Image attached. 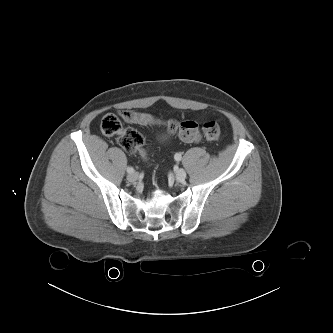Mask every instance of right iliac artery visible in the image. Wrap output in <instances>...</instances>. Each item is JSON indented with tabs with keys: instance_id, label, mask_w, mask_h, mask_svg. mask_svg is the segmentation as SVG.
I'll use <instances>...</instances> for the list:
<instances>
[{
	"instance_id": "82829eb1",
	"label": "right iliac artery",
	"mask_w": 333,
	"mask_h": 333,
	"mask_svg": "<svg viewBox=\"0 0 333 333\" xmlns=\"http://www.w3.org/2000/svg\"><path fill=\"white\" fill-rule=\"evenodd\" d=\"M127 172L128 173H133L134 172V169L132 167H127Z\"/></svg>"
}]
</instances>
